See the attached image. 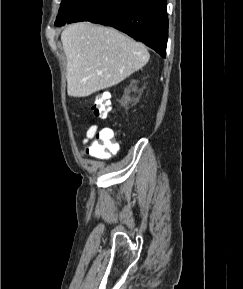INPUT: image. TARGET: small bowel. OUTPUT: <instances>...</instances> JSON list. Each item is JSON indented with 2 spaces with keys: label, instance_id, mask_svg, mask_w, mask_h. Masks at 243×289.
I'll use <instances>...</instances> for the list:
<instances>
[{
  "label": "small bowel",
  "instance_id": "obj_1",
  "mask_svg": "<svg viewBox=\"0 0 243 289\" xmlns=\"http://www.w3.org/2000/svg\"><path fill=\"white\" fill-rule=\"evenodd\" d=\"M98 133V127L97 125H91L88 130L86 131V135L84 138V143H87L88 141H90L91 139H93L95 137V135Z\"/></svg>",
  "mask_w": 243,
  "mask_h": 289
}]
</instances>
